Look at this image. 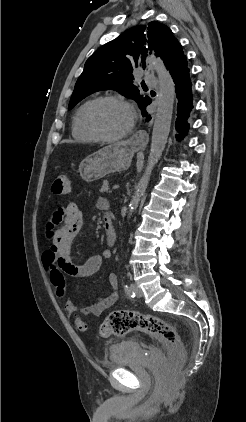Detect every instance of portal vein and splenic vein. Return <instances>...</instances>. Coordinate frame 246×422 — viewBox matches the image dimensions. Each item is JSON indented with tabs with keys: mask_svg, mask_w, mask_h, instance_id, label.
Returning a JSON list of instances; mask_svg holds the SVG:
<instances>
[{
	"mask_svg": "<svg viewBox=\"0 0 246 422\" xmlns=\"http://www.w3.org/2000/svg\"><path fill=\"white\" fill-rule=\"evenodd\" d=\"M119 188V185H114L113 186V189H118Z\"/></svg>",
	"mask_w": 246,
	"mask_h": 422,
	"instance_id": "obj_1",
	"label": "portal vein and splenic vein"
}]
</instances>
